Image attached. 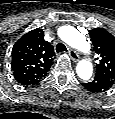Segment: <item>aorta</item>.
I'll return each instance as SVG.
<instances>
[{"label":"aorta","instance_id":"762f6f07","mask_svg":"<svg viewBox=\"0 0 115 119\" xmlns=\"http://www.w3.org/2000/svg\"><path fill=\"white\" fill-rule=\"evenodd\" d=\"M59 37L69 46L79 50L82 53L90 52V44L86 37L71 26H65L59 31ZM76 73L79 78L88 80L93 73V66L90 60H81L76 67Z\"/></svg>","mask_w":115,"mask_h":119}]
</instances>
